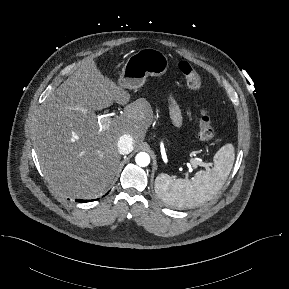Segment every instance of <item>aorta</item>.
Returning <instances> with one entry per match:
<instances>
[{
  "mask_svg": "<svg viewBox=\"0 0 289 289\" xmlns=\"http://www.w3.org/2000/svg\"><path fill=\"white\" fill-rule=\"evenodd\" d=\"M135 161L137 165L146 167L150 163V156L145 152H140L136 155Z\"/></svg>",
  "mask_w": 289,
  "mask_h": 289,
  "instance_id": "aorta-1",
  "label": "aorta"
}]
</instances>
